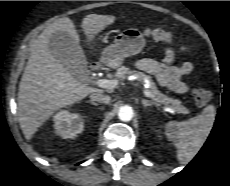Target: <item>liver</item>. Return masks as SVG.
<instances>
[{
    "label": "liver",
    "instance_id": "1",
    "mask_svg": "<svg viewBox=\"0 0 230 186\" xmlns=\"http://www.w3.org/2000/svg\"><path fill=\"white\" fill-rule=\"evenodd\" d=\"M112 15L89 14L81 27L90 42L95 35L113 24ZM69 34L79 44L76 27L68 17L53 22L31 45V54L22 75L18 91V120L27 140L56 110L70 106L92 93L103 90L83 84L52 54L49 43L55 32Z\"/></svg>",
    "mask_w": 230,
    "mask_h": 186
}]
</instances>
